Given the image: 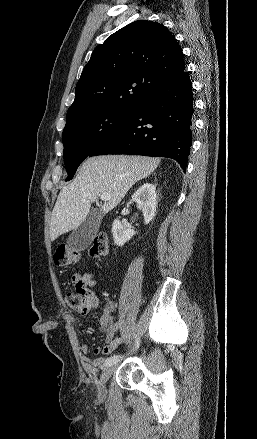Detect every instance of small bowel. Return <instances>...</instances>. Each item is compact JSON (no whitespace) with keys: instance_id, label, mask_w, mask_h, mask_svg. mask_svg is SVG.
I'll use <instances>...</instances> for the list:
<instances>
[{"instance_id":"small-bowel-1","label":"small bowel","mask_w":257,"mask_h":439,"mask_svg":"<svg viewBox=\"0 0 257 439\" xmlns=\"http://www.w3.org/2000/svg\"><path fill=\"white\" fill-rule=\"evenodd\" d=\"M75 289L82 288L86 293L84 310L82 315H86L91 309L99 307L100 300L98 296L92 291L91 287L94 285V278L91 274L79 275L76 274L72 278ZM114 303L107 302L99 317L98 326L101 332L106 335L105 343L94 350L95 358L89 356V347L86 344H80V358L83 370L88 375H96L99 368L105 364L106 359L100 355H108L113 353L122 343L123 339L116 337L118 325L114 321L113 311Z\"/></svg>"}]
</instances>
